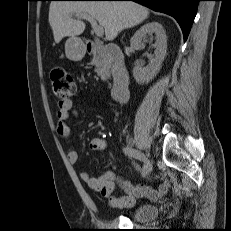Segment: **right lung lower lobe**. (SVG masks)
Returning a JSON list of instances; mask_svg holds the SVG:
<instances>
[{
    "label": "right lung lower lobe",
    "mask_w": 231,
    "mask_h": 231,
    "mask_svg": "<svg viewBox=\"0 0 231 231\" xmlns=\"http://www.w3.org/2000/svg\"><path fill=\"white\" fill-rule=\"evenodd\" d=\"M101 1V0H94ZM112 1V0H110ZM123 1V0H114ZM135 1L152 10L166 13L179 23L184 40L186 41L190 28L197 13V6L201 0H125Z\"/></svg>",
    "instance_id": "obj_1"
}]
</instances>
